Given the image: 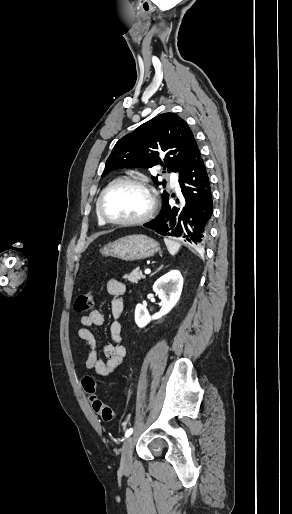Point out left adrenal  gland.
I'll use <instances>...</instances> for the list:
<instances>
[{
	"label": "left adrenal gland",
	"instance_id": "left-adrenal-gland-1",
	"mask_svg": "<svg viewBox=\"0 0 292 514\" xmlns=\"http://www.w3.org/2000/svg\"><path fill=\"white\" fill-rule=\"evenodd\" d=\"M161 268H163V266H160V268H158V270H156V272H154V274H157V272H159V270H161ZM151 276H153V274H151Z\"/></svg>",
	"mask_w": 292,
	"mask_h": 514
}]
</instances>
